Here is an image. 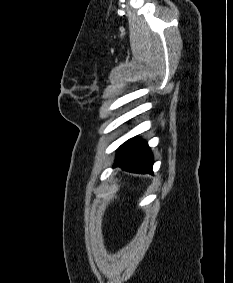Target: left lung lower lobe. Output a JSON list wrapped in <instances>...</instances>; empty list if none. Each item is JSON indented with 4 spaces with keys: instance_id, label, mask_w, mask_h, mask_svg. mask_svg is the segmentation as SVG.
Masks as SVG:
<instances>
[{
    "instance_id": "left-lung-lower-lobe-1",
    "label": "left lung lower lobe",
    "mask_w": 233,
    "mask_h": 283,
    "mask_svg": "<svg viewBox=\"0 0 233 283\" xmlns=\"http://www.w3.org/2000/svg\"><path fill=\"white\" fill-rule=\"evenodd\" d=\"M153 156L146 141L129 139L118 149L114 167L125 171L152 174Z\"/></svg>"
}]
</instances>
